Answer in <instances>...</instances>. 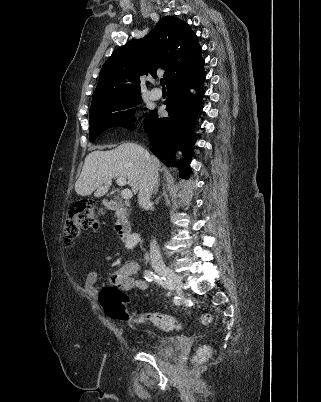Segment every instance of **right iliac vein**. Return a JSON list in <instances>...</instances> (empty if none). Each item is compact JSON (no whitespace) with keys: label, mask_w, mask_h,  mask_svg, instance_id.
Segmentation results:
<instances>
[{"label":"right iliac vein","mask_w":321,"mask_h":402,"mask_svg":"<svg viewBox=\"0 0 321 402\" xmlns=\"http://www.w3.org/2000/svg\"><path fill=\"white\" fill-rule=\"evenodd\" d=\"M156 271L159 274L165 276L171 282L172 287L177 293V295H179L180 297L184 296L182 290L181 278L174 271H172L170 268L166 266H157Z\"/></svg>","instance_id":"right-iliac-vein-1"}]
</instances>
